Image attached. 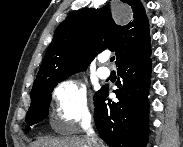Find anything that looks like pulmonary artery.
I'll return each instance as SVG.
<instances>
[{
    "mask_svg": "<svg viewBox=\"0 0 183 147\" xmlns=\"http://www.w3.org/2000/svg\"><path fill=\"white\" fill-rule=\"evenodd\" d=\"M99 61H100V63H105L107 61L106 56L100 57ZM97 73L101 79H106L110 76V69L105 66H101L98 68Z\"/></svg>",
    "mask_w": 183,
    "mask_h": 147,
    "instance_id": "obj_1",
    "label": "pulmonary artery"
}]
</instances>
